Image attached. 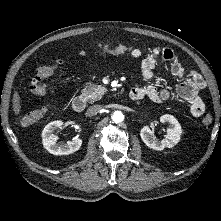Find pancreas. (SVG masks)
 Returning a JSON list of instances; mask_svg holds the SVG:
<instances>
[{"instance_id": "cf45deb5", "label": "pancreas", "mask_w": 221, "mask_h": 221, "mask_svg": "<svg viewBox=\"0 0 221 221\" xmlns=\"http://www.w3.org/2000/svg\"><path fill=\"white\" fill-rule=\"evenodd\" d=\"M107 91L106 88L101 85L90 84L88 87L82 90L81 96L89 103H93L100 100L103 94Z\"/></svg>"}]
</instances>
